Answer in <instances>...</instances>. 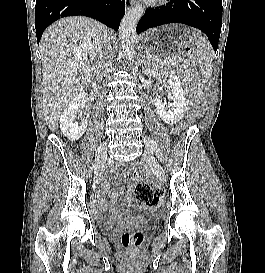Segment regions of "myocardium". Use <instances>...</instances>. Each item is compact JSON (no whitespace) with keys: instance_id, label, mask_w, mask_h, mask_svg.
I'll list each match as a JSON object with an SVG mask.
<instances>
[{"instance_id":"1","label":"myocardium","mask_w":265,"mask_h":273,"mask_svg":"<svg viewBox=\"0 0 265 273\" xmlns=\"http://www.w3.org/2000/svg\"><path fill=\"white\" fill-rule=\"evenodd\" d=\"M149 1L153 4H158V5H162L167 2V0H149Z\"/></svg>"}]
</instances>
